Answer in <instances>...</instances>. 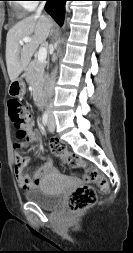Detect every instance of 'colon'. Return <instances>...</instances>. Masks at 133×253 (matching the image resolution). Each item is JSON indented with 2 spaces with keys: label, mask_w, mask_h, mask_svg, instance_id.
Returning <instances> with one entry per match:
<instances>
[{
  "label": "colon",
  "mask_w": 133,
  "mask_h": 253,
  "mask_svg": "<svg viewBox=\"0 0 133 253\" xmlns=\"http://www.w3.org/2000/svg\"><path fill=\"white\" fill-rule=\"evenodd\" d=\"M7 108L11 122L17 130V138L25 139L31 131V115L28 108L15 99L8 100ZM50 148L52 152L61 157L68 166H84L81 158L74 153L68 152L62 142L53 140L50 143ZM89 177L101 190L106 191L108 189L107 179L97 170L92 169L89 173ZM96 200L97 194L95 188L91 185H83L74 190L68 197L66 207L72 212L82 211L93 206L96 203Z\"/></svg>",
  "instance_id": "5ec220e1"
}]
</instances>
